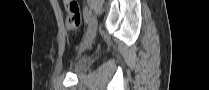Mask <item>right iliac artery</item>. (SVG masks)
<instances>
[{
	"label": "right iliac artery",
	"instance_id": "1",
	"mask_svg": "<svg viewBox=\"0 0 209 90\" xmlns=\"http://www.w3.org/2000/svg\"><path fill=\"white\" fill-rule=\"evenodd\" d=\"M83 16H84L85 23L88 24L90 21V17H91V11L87 7H85L83 10Z\"/></svg>",
	"mask_w": 209,
	"mask_h": 90
}]
</instances>
